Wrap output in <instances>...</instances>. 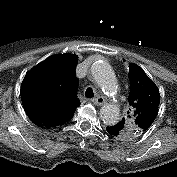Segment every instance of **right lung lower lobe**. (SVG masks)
<instances>
[{"label":"right lung lower lobe","mask_w":177,"mask_h":177,"mask_svg":"<svg viewBox=\"0 0 177 177\" xmlns=\"http://www.w3.org/2000/svg\"><path fill=\"white\" fill-rule=\"evenodd\" d=\"M32 122L35 123L37 126L47 128V127H45L43 124H39V123H37V122H35V121H33V120H32Z\"/></svg>","instance_id":"obj_1"}]
</instances>
